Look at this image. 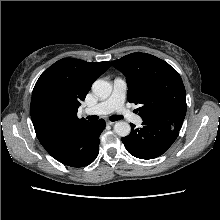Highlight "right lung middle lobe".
<instances>
[{
  "label": "right lung middle lobe",
  "instance_id": "1",
  "mask_svg": "<svg viewBox=\"0 0 220 220\" xmlns=\"http://www.w3.org/2000/svg\"><path fill=\"white\" fill-rule=\"evenodd\" d=\"M43 110H44V112H47L48 111V107L47 106L43 107Z\"/></svg>",
  "mask_w": 220,
  "mask_h": 220
}]
</instances>
